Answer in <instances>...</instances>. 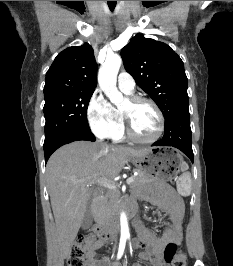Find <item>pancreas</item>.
I'll return each instance as SVG.
<instances>
[{
	"label": "pancreas",
	"mask_w": 233,
	"mask_h": 266,
	"mask_svg": "<svg viewBox=\"0 0 233 266\" xmlns=\"http://www.w3.org/2000/svg\"><path fill=\"white\" fill-rule=\"evenodd\" d=\"M152 181V178L149 174L139 171L136 177H133V182L130 184V187L137 188L142 185H146ZM119 192L115 189H110L105 192V194L99 200L97 210L98 214L102 217L112 216L118 206Z\"/></svg>",
	"instance_id": "1"
}]
</instances>
